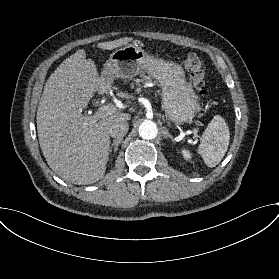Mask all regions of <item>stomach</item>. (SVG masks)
Masks as SVG:
<instances>
[{"label": "stomach", "mask_w": 279, "mask_h": 279, "mask_svg": "<svg viewBox=\"0 0 279 279\" xmlns=\"http://www.w3.org/2000/svg\"><path fill=\"white\" fill-rule=\"evenodd\" d=\"M141 70L161 87L162 109L168 120L176 124L191 122L201 108L180 64L149 55L141 47L129 44L110 54L102 73H109L113 82L114 78L132 79Z\"/></svg>", "instance_id": "obj_1"}]
</instances>
